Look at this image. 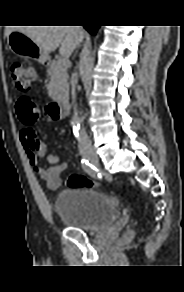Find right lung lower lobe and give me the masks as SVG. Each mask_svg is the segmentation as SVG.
<instances>
[{
    "label": "right lung lower lobe",
    "mask_w": 184,
    "mask_h": 292,
    "mask_svg": "<svg viewBox=\"0 0 184 292\" xmlns=\"http://www.w3.org/2000/svg\"><path fill=\"white\" fill-rule=\"evenodd\" d=\"M84 28L92 35L96 34L97 29L99 26L97 25H84Z\"/></svg>",
    "instance_id": "1"
}]
</instances>
